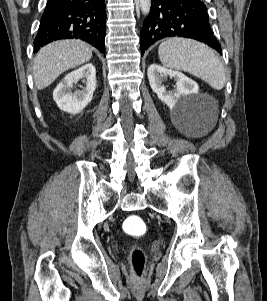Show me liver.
<instances>
[{"label": "liver", "mask_w": 267, "mask_h": 301, "mask_svg": "<svg viewBox=\"0 0 267 301\" xmlns=\"http://www.w3.org/2000/svg\"><path fill=\"white\" fill-rule=\"evenodd\" d=\"M91 57L89 45L80 40H61L44 46L34 59L33 77L36 88L45 89L59 75L88 62Z\"/></svg>", "instance_id": "liver-1"}]
</instances>
